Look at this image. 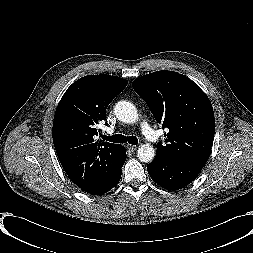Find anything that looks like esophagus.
Segmentation results:
<instances>
[{
  "label": "esophagus",
  "instance_id": "34e87169",
  "mask_svg": "<svg viewBox=\"0 0 253 253\" xmlns=\"http://www.w3.org/2000/svg\"><path fill=\"white\" fill-rule=\"evenodd\" d=\"M127 148H128L131 152H134V151L137 149V146L128 144V145H127Z\"/></svg>",
  "mask_w": 253,
  "mask_h": 253
}]
</instances>
